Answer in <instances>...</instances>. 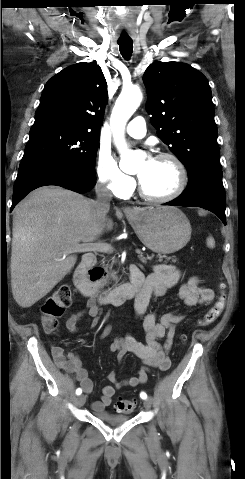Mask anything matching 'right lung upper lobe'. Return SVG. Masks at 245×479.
<instances>
[{
	"instance_id": "cb5924a9",
	"label": "right lung upper lobe",
	"mask_w": 245,
	"mask_h": 479,
	"mask_svg": "<svg viewBox=\"0 0 245 479\" xmlns=\"http://www.w3.org/2000/svg\"><path fill=\"white\" fill-rule=\"evenodd\" d=\"M107 99V82L96 63L69 66L46 83L32 127L56 125L99 134Z\"/></svg>"
}]
</instances>
